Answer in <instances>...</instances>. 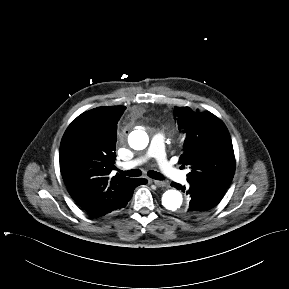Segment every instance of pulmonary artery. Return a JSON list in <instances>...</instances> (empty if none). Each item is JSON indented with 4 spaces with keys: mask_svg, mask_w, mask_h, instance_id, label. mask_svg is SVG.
<instances>
[{
    "mask_svg": "<svg viewBox=\"0 0 289 289\" xmlns=\"http://www.w3.org/2000/svg\"><path fill=\"white\" fill-rule=\"evenodd\" d=\"M148 158H155L162 173L169 179L176 182H184L186 173L177 169L168 159L165 152L164 135L157 133L152 137L150 146L145 156L124 163L123 168L130 169L142 164Z\"/></svg>",
    "mask_w": 289,
    "mask_h": 289,
    "instance_id": "pulmonary-artery-1",
    "label": "pulmonary artery"
}]
</instances>
